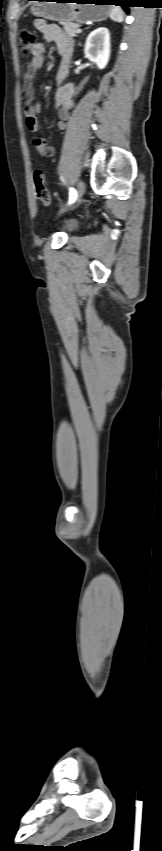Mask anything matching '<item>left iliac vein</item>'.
<instances>
[{
  "mask_svg": "<svg viewBox=\"0 0 162 851\" xmlns=\"http://www.w3.org/2000/svg\"><path fill=\"white\" fill-rule=\"evenodd\" d=\"M84 192H85V185H84V182L82 180H80L77 183V203L80 202Z\"/></svg>",
  "mask_w": 162,
  "mask_h": 851,
  "instance_id": "obj_1",
  "label": "left iliac vein"
}]
</instances>
